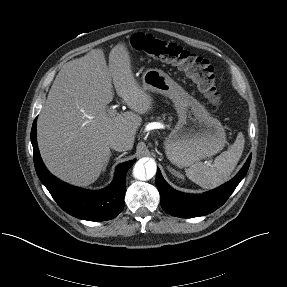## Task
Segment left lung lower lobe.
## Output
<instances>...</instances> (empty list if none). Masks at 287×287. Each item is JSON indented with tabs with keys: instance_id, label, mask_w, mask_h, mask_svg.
I'll list each match as a JSON object with an SVG mask.
<instances>
[{
	"instance_id": "1",
	"label": "left lung lower lobe",
	"mask_w": 287,
	"mask_h": 287,
	"mask_svg": "<svg viewBox=\"0 0 287 287\" xmlns=\"http://www.w3.org/2000/svg\"><path fill=\"white\" fill-rule=\"evenodd\" d=\"M251 161V155L239 173L229 182L203 194H185L173 189L157 170L156 185L161 196V206L172 216L193 218L207 215L222 206L237 185L246 175Z\"/></svg>"
}]
</instances>
